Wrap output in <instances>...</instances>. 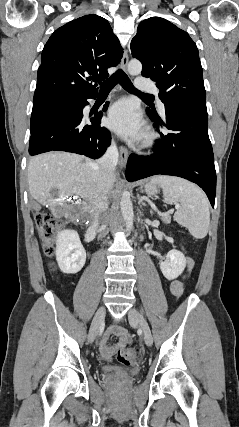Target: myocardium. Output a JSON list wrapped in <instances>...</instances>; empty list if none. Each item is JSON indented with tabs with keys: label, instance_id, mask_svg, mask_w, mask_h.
Returning <instances> with one entry per match:
<instances>
[{
	"label": "myocardium",
	"instance_id": "obj_1",
	"mask_svg": "<svg viewBox=\"0 0 239 427\" xmlns=\"http://www.w3.org/2000/svg\"><path fill=\"white\" fill-rule=\"evenodd\" d=\"M157 138L158 136L155 132L147 131L143 134L140 140L139 147L141 149H151L152 147L155 146Z\"/></svg>",
	"mask_w": 239,
	"mask_h": 427
}]
</instances>
